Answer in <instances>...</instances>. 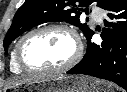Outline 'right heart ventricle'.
I'll use <instances>...</instances> for the list:
<instances>
[{
  "label": "right heart ventricle",
  "mask_w": 127,
  "mask_h": 92,
  "mask_svg": "<svg viewBox=\"0 0 127 92\" xmlns=\"http://www.w3.org/2000/svg\"><path fill=\"white\" fill-rule=\"evenodd\" d=\"M10 70L15 74L23 73V70L18 66L15 58V48L12 50L10 57Z\"/></svg>",
  "instance_id": "right-heart-ventricle-1"
}]
</instances>
